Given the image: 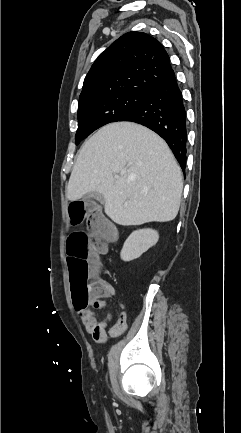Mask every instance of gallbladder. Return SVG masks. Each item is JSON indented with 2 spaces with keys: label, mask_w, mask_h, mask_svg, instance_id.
<instances>
[{
  "label": "gallbladder",
  "mask_w": 241,
  "mask_h": 433,
  "mask_svg": "<svg viewBox=\"0 0 241 433\" xmlns=\"http://www.w3.org/2000/svg\"><path fill=\"white\" fill-rule=\"evenodd\" d=\"M91 199H95V200L99 201L100 203L104 202V196L98 192H88L83 196L84 201H89Z\"/></svg>",
  "instance_id": "gallbladder-1"
}]
</instances>
